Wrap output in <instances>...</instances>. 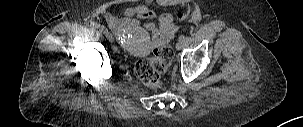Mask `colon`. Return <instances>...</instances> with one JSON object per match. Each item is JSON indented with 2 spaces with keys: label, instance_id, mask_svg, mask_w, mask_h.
<instances>
[{
  "label": "colon",
  "instance_id": "5ec220e1",
  "mask_svg": "<svg viewBox=\"0 0 303 127\" xmlns=\"http://www.w3.org/2000/svg\"><path fill=\"white\" fill-rule=\"evenodd\" d=\"M178 20L185 18V13L178 12ZM174 58V51L170 46H160L154 51L152 57L141 59L135 65V75L146 86L157 88L161 85L162 74L166 71Z\"/></svg>",
  "mask_w": 303,
  "mask_h": 127
}]
</instances>
